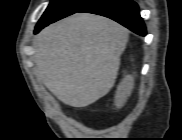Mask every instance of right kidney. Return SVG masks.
Masks as SVG:
<instances>
[{"instance_id":"right-kidney-1","label":"right kidney","mask_w":182,"mask_h":140,"mask_svg":"<svg viewBox=\"0 0 182 140\" xmlns=\"http://www.w3.org/2000/svg\"><path fill=\"white\" fill-rule=\"evenodd\" d=\"M134 87V78L131 75H127L120 82L117 87V91L115 94V106L116 108H121L127 101V98L131 95V92Z\"/></svg>"}]
</instances>
